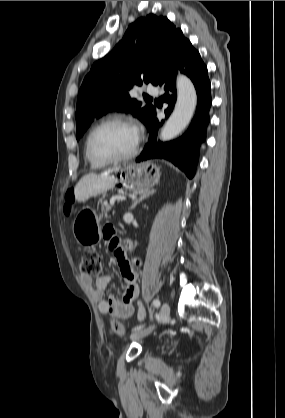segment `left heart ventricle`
Returning <instances> with one entry per match:
<instances>
[{
	"label": "left heart ventricle",
	"mask_w": 285,
	"mask_h": 418,
	"mask_svg": "<svg viewBox=\"0 0 285 418\" xmlns=\"http://www.w3.org/2000/svg\"><path fill=\"white\" fill-rule=\"evenodd\" d=\"M136 133L125 125H108L100 129L92 140L93 150L106 157H118L129 153L135 144Z\"/></svg>",
	"instance_id": "obj_1"
}]
</instances>
